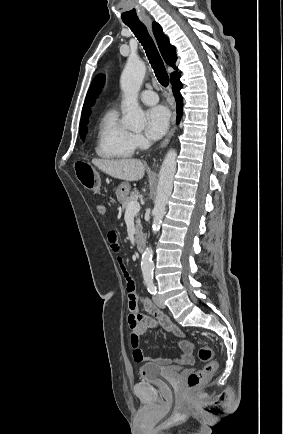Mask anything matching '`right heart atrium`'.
<instances>
[{
  "label": "right heart atrium",
  "mask_w": 283,
  "mask_h": 434,
  "mask_svg": "<svg viewBox=\"0 0 283 434\" xmlns=\"http://www.w3.org/2000/svg\"><path fill=\"white\" fill-rule=\"evenodd\" d=\"M132 144L135 149H144L148 146V140L141 133H132Z\"/></svg>",
  "instance_id": "right-heart-atrium-1"
}]
</instances>
